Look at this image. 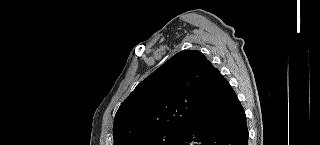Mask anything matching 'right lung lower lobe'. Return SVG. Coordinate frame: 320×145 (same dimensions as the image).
I'll list each match as a JSON object with an SVG mask.
<instances>
[{
	"mask_svg": "<svg viewBox=\"0 0 320 145\" xmlns=\"http://www.w3.org/2000/svg\"><path fill=\"white\" fill-rule=\"evenodd\" d=\"M218 92L220 99L213 112L187 125L172 145H247L245 112L226 79Z\"/></svg>",
	"mask_w": 320,
	"mask_h": 145,
	"instance_id": "1",
	"label": "right lung lower lobe"
}]
</instances>
